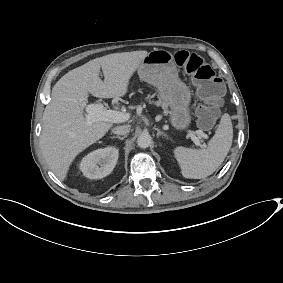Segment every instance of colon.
Masks as SVG:
<instances>
[{"label":"colon","mask_w":283,"mask_h":283,"mask_svg":"<svg viewBox=\"0 0 283 283\" xmlns=\"http://www.w3.org/2000/svg\"><path fill=\"white\" fill-rule=\"evenodd\" d=\"M177 65L182 67L197 86L203 101L197 111L199 125L203 128L211 127L219 114L224 86L213 68L199 55L188 51L175 54Z\"/></svg>","instance_id":"colon-1"}]
</instances>
